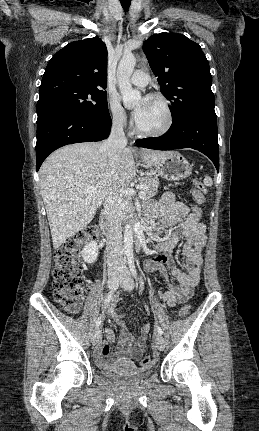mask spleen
I'll use <instances>...</instances> for the list:
<instances>
[{
    "mask_svg": "<svg viewBox=\"0 0 259 431\" xmlns=\"http://www.w3.org/2000/svg\"><path fill=\"white\" fill-rule=\"evenodd\" d=\"M204 184L206 185V186H212L213 185V181H212V178L211 177H209V176H206L205 178H204Z\"/></svg>",
    "mask_w": 259,
    "mask_h": 431,
    "instance_id": "obj_1",
    "label": "spleen"
}]
</instances>
